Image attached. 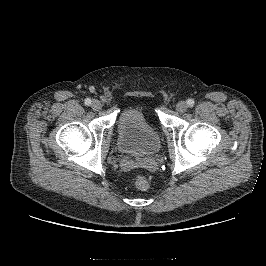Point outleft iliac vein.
Returning a JSON list of instances; mask_svg holds the SVG:
<instances>
[{
	"mask_svg": "<svg viewBox=\"0 0 266 266\" xmlns=\"http://www.w3.org/2000/svg\"><path fill=\"white\" fill-rule=\"evenodd\" d=\"M188 104L185 102V101H180V102H178L177 103V105H176V110L178 111V112H181V113H183V112H185L187 109H188Z\"/></svg>",
	"mask_w": 266,
	"mask_h": 266,
	"instance_id": "obj_1",
	"label": "left iliac vein"
}]
</instances>
